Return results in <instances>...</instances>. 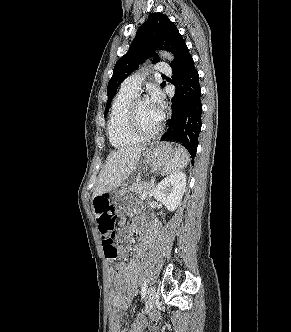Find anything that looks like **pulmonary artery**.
I'll use <instances>...</instances> for the list:
<instances>
[{"instance_id":"pulmonary-artery-1","label":"pulmonary artery","mask_w":291,"mask_h":332,"mask_svg":"<svg viewBox=\"0 0 291 332\" xmlns=\"http://www.w3.org/2000/svg\"><path fill=\"white\" fill-rule=\"evenodd\" d=\"M157 70L163 74L171 73V68L164 62L157 64ZM143 79L144 76L140 73L132 74L123 81L121 89L137 94Z\"/></svg>"}]
</instances>
